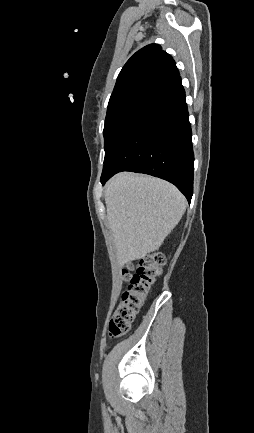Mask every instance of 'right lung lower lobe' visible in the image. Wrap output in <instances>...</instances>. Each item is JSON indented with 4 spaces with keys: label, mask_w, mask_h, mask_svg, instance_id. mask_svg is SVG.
<instances>
[{
    "label": "right lung lower lobe",
    "mask_w": 254,
    "mask_h": 433,
    "mask_svg": "<svg viewBox=\"0 0 254 433\" xmlns=\"http://www.w3.org/2000/svg\"><path fill=\"white\" fill-rule=\"evenodd\" d=\"M185 92L178 76L128 120L103 167L101 183L120 171L174 184L191 201L194 155Z\"/></svg>",
    "instance_id": "98d812e1"
}]
</instances>
